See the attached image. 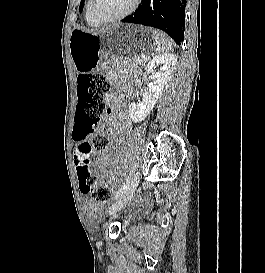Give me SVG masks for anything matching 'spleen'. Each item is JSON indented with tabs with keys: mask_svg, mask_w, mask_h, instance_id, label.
<instances>
[{
	"mask_svg": "<svg viewBox=\"0 0 265 273\" xmlns=\"http://www.w3.org/2000/svg\"><path fill=\"white\" fill-rule=\"evenodd\" d=\"M155 44H156V52L158 54L167 53L171 50L172 43L165 36L164 33L159 31H154L153 33Z\"/></svg>",
	"mask_w": 265,
	"mask_h": 273,
	"instance_id": "1",
	"label": "spleen"
}]
</instances>
